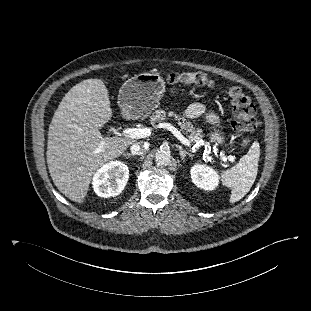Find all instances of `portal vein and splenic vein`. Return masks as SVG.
<instances>
[{"label": "portal vein and splenic vein", "mask_w": 311, "mask_h": 311, "mask_svg": "<svg viewBox=\"0 0 311 311\" xmlns=\"http://www.w3.org/2000/svg\"><path fill=\"white\" fill-rule=\"evenodd\" d=\"M159 128H165L169 130L180 142L186 146H191L190 141L185 138L181 132L171 125L170 123H160L157 125ZM122 135L129 138H146L151 135V129L150 128H124L122 131ZM235 157L234 156H221V160L223 162H227V160L234 162Z\"/></svg>", "instance_id": "18ae733b"}]
</instances>
